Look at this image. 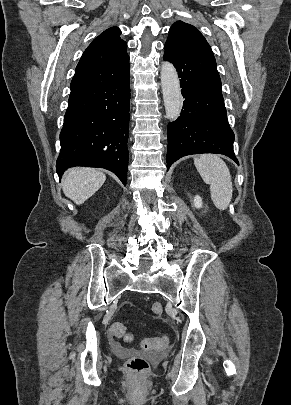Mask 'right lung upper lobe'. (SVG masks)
Wrapping results in <instances>:
<instances>
[{"label": "right lung upper lobe", "mask_w": 291, "mask_h": 405, "mask_svg": "<svg viewBox=\"0 0 291 405\" xmlns=\"http://www.w3.org/2000/svg\"><path fill=\"white\" fill-rule=\"evenodd\" d=\"M121 31L111 27L95 38L84 51L72 79V99L87 90L120 79L129 72L127 44Z\"/></svg>", "instance_id": "1"}]
</instances>
